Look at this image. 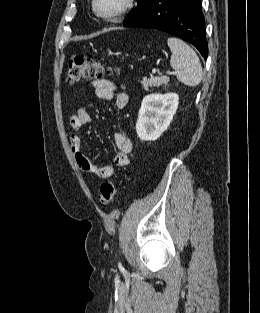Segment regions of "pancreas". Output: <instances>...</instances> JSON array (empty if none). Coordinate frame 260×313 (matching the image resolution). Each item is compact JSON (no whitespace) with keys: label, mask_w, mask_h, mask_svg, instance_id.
Masks as SVG:
<instances>
[{"label":"pancreas","mask_w":260,"mask_h":313,"mask_svg":"<svg viewBox=\"0 0 260 313\" xmlns=\"http://www.w3.org/2000/svg\"><path fill=\"white\" fill-rule=\"evenodd\" d=\"M169 82V77L162 76V77H144L141 81L142 86L145 90H149L151 87H160L162 85H167Z\"/></svg>","instance_id":"1"}]
</instances>
